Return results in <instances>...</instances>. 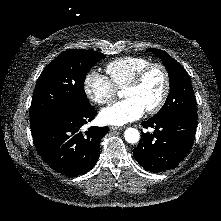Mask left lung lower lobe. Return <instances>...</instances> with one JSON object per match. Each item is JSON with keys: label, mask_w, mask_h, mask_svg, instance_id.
<instances>
[{"label": "left lung lower lobe", "mask_w": 221, "mask_h": 221, "mask_svg": "<svg viewBox=\"0 0 221 221\" xmlns=\"http://www.w3.org/2000/svg\"><path fill=\"white\" fill-rule=\"evenodd\" d=\"M142 125L155 131L143 133L133 155L143 168L158 173L175 168L186 157L195 139L197 118L179 114L154 116Z\"/></svg>", "instance_id": "obj_1"}]
</instances>
